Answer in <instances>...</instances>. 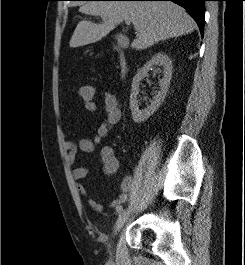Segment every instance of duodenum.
Wrapping results in <instances>:
<instances>
[{
    "label": "duodenum",
    "instance_id": "duodenum-1",
    "mask_svg": "<svg viewBox=\"0 0 245 265\" xmlns=\"http://www.w3.org/2000/svg\"><path fill=\"white\" fill-rule=\"evenodd\" d=\"M119 66L122 75H126L128 72V63L126 55L123 52H119Z\"/></svg>",
    "mask_w": 245,
    "mask_h": 265
}]
</instances>
